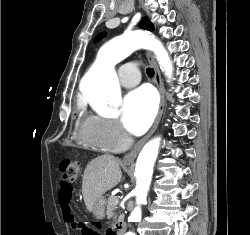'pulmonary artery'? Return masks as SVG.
<instances>
[{"label":"pulmonary artery","mask_w":250,"mask_h":235,"mask_svg":"<svg viewBox=\"0 0 250 235\" xmlns=\"http://www.w3.org/2000/svg\"><path fill=\"white\" fill-rule=\"evenodd\" d=\"M120 73V83L126 88L137 85L141 79L139 68L132 63H125L122 65Z\"/></svg>","instance_id":"obj_1"}]
</instances>
